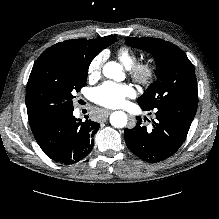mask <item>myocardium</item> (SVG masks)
I'll return each mask as SVG.
<instances>
[{"label":"myocardium","mask_w":219,"mask_h":219,"mask_svg":"<svg viewBox=\"0 0 219 219\" xmlns=\"http://www.w3.org/2000/svg\"><path fill=\"white\" fill-rule=\"evenodd\" d=\"M130 76L142 86H149L157 76L156 65L152 61L137 62L129 69Z\"/></svg>","instance_id":"obj_1"}]
</instances>
